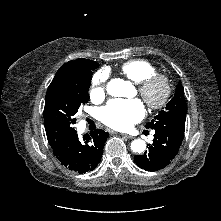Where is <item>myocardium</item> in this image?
I'll use <instances>...</instances> for the list:
<instances>
[{
    "mask_svg": "<svg viewBox=\"0 0 221 221\" xmlns=\"http://www.w3.org/2000/svg\"><path fill=\"white\" fill-rule=\"evenodd\" d=\"M159 89V95L154 92ZM138 92L146 105L152 110H160L166 106L172 94V82L164 74H153L138 83Z\"/></svg>",
    "mask_w": 221,
    "mask_h": 221,
    "instance_id": "obj_1",
    "label": "myocardium"
}]
</instances>
